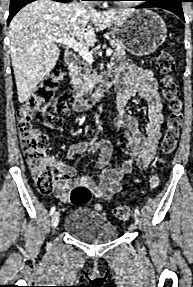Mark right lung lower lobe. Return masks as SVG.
Segmentation results:
<instances>
[{
	"instance_id": "right-lung-lower-lobe-1",
	"label": "right lung lower lobe",
	"mask_w": 193,
	"mask_h": 287,
	"mask_svg": "<svg viewBox=\"0 0 193 287\" xmlns=\"http://www.w3.org/2000/svg\"><path fill=\"white\" fill-rule=\"evenodd\" d=\"M35 0H11L10 1V10H9V17L7 20V23L9 24L11 19L14 17V15L25 5H27L28 3H31ZM58 2H63V3H67V2H71L72 0H55Z\"/></svg>"
}]
</instances>
